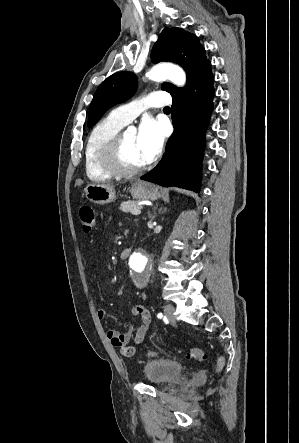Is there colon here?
<instances>
[{
  "label": "colon",
  "mask_w": 299,
  "mask_h": 443,
  "mask_svg": "<svg viewBox=\"0 0 299 443\" xmlns=\"http://www.w3.org/2000/svg\"><path fill=\"white\" fill-rule=\"evenodd\" d=\"M79 220L81 223L82 231L85 233H90L94 227H95V216L94 211L89 206H82L79 210ZM155 353L151 352L149 353V356H154ZM187 356L190 359H193L198 362H202L206 359L205 354L202 352V350L198 348H191L187 352ZM224 360L222 357L218 358L217 360V371H220L223 368Z\"/></svg>",
  "instance_id": "1"
}]
</instances>
